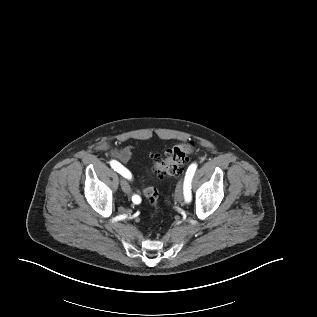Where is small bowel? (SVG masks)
Returning a JSON list of instances; mask_svg holds the SVG:
<instances>
[{"mask_svg":"<svg viewBox=\"0 0 317 317\" xmlns=\"http://www.w3.org/2000/svg\"><path fill=\"white\" fill-rule=\"evenodd\" d=\"M110 154H111L112 157L116 158L121 163H126L131 158L132 149H131L130 146H126V147H123V148H112L110 150ZM134 195H137V194H134Z\"/></svg>","mask_w":317,"mask_h":317,"instance_id":"1","label":"small bowel"}]
</instances>
